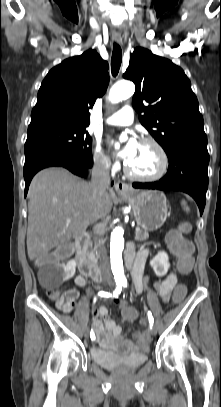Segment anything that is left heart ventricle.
<instances>
[{"mask_svg":"<svg viewBox=\"0 0 221 407\" xmlns=\"http://www.w3.org/2000/svg\"><path fill=\"white\" fill-rule=\"evenodd\" d=\"M128 165L139 175L151 176L160 171L162 159L154 146L139 143L133 156L128 160Z\"/></svg>","mask_w":221,"mask_h":407,"instance_id":"b2bd125f","label":"left heart ventricle"}]
</instances>
